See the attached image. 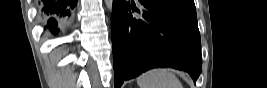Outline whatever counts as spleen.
Returning <instances> with one entry per match:
<instances>
[{"instance_id":"spleen-1","label":"spleen","mask_w":267,"mask_h":88,"mask_svg":"<svg viewBox=\"0 0 267 88\" xmlns=\"http://www.w3.org/2000/svg\"><path fill=\"white\" fill-rule=\"evenodd\" d=\"M139 88H183L177 76L168 68L149 70L137 78Z\"/></svg>"}]
</instances>
